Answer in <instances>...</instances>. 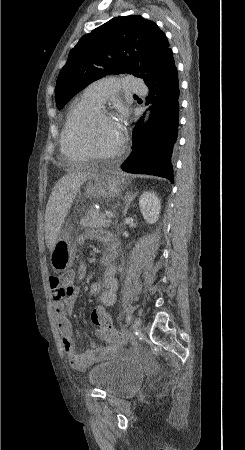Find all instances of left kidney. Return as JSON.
I'll return each mask as SVG.
<instances>
[{
    "mask_svg": "<svg viewBox=\"0 0 245 450\" xmlns=\"http://www.w3.org/2000/svg\"><path fill=\"white\" fill-rule=\"evenodd\" d=\"M140 211L148 223H155L160 214L161 203L154 192H144L139 199Z\"/></svg>",
    "mask_w": 245,
    "mask_h": 450,
    "instance_id": "1",
    "label": "left kidney"
}]
</instances>
